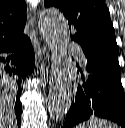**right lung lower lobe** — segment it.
Returning a JSON list of instances; mask_svg holds the SVG:
<instances>
[{
  "label": "right lung lower lobe",
  "mask_w": 125,
  "mask_h": 128,
  "mask_svg": "<svg viewBox=\"0 0 125 128\" xmlns=\"http://www.w3.org/2000/svg\"><path fill=\"white\" fill-rule=\"evenodd\" d=\"M7 57H6V56ZM35 62V55L30 39L26 35L0 45V71L13 77L14 81L10 84L18 89L20 94V83L29 73H31ZM9 63L5 66L3 64ZM22 107L18 96L15 102V115L17 124L20 123Z\"/></svg>",
  "instance_id": "right-lung-lower-lobe-1"
}]
</instances>
